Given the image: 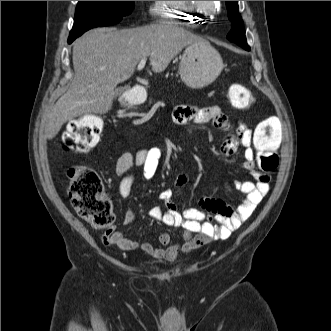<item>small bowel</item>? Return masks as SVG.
<instances>
[{
    "label": "small bowel",
    "mask_w": 331,
    "mask_h": 331,
    "mask_svg": "<svg viewBox=\"0 0 331 331\" xmlns=\"http://www.w3.org/2000/svg\"><path fill=\"white\" fill-rule=\"evenodd\" d=\"M173 120L176 124L185 126L188 123L204 124L212 122L215 127L229 130L228 117L219 106L194 107L189 105L178 106L173 112ZM254 138L253 132L246 125H237L235 133L230 134L220 147L221 154L225 157L233 155L239 146L244 149V167L251 172L255 182L236 180V189L246 194L241 204L234 208L220 199L201 197L200 209L185 208L179 212L172 200L173 191L170 188L160 193V200L164 208L154 206L149 211V216L154 221L167 226L178 227L185 230L180 242L172 243L168 233H160L158 241L161 246H154L149 242L139 244L137 241L126 237L122 232L113 229L103 235L106 245H115L124 251L141 249L146 254L155 258L175 260L181 252H189L211 241L226 240L232 232L238 229L254 212L258 204L269 191L270 176L267 173L255 170L254 165ZM162 156L161 149L152 147L136 153H125L117 161L116 174L120 179L119 192L123 198L130 195L134 183V175L129 170L134 167H142L145 179L154 177L159 160ZM188 176L180 174L174 185L184 186ZM136 218L133 210H128L123 218V224L129 225Z\"/></svg>",
    "instance_id": "obj_1"
}]
</instances>
